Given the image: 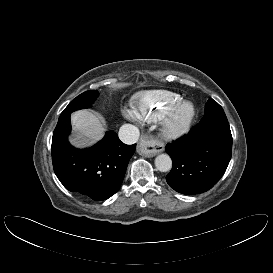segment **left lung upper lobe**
I'll list each match as a JSON object with an SVG mask.
<instances>
[{
	"label": "left lung upper lobe",
	"instance_id": "1",
	"mask_svg": "<svg viewBox=\"0 0 273 273\" xmlns=\"http://www.w3.org/2000/svg\"><path fill=\"white\" fill-rule=\"evenodd\" d=\"M205 119H215V118H226L224 110L222 107L210 98L205 104Z\"/></svg>",
	"mask_w": 273,
	"mask_h": 273
}]
</instances>
